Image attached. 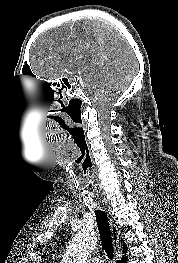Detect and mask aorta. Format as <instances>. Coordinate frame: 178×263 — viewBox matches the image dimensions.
Segmentation results:
<instances>
[{"instance_id": "aorta-1", "label": "aorta", "mask_w": 178, "mask_h": 263, "mask_svg": "<svg viewBox=\"0 0 178 263\" xmlns=\"http://www.w3.org/2000/svg\"><path fill=\"white\" fill-rule=\"evenodd\" d=\"M96 243L94 233L83 229L73 237L61 263H87Z\"/></svg>"}]
</instances>
